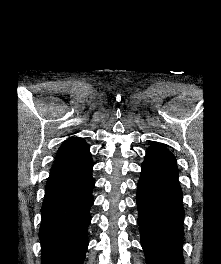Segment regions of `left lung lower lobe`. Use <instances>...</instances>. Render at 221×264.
Here are the masks:
<instances>
[{
  "label": "left lung lower lobe",
  "mask_w": 221,
  "mask_h": 264,
  "mask_svg": "<svg viewBox=\"0 0 221 264\" xmlns=\"http://www.w3.org/2000/svg\"><path fill=\"white\" fill-rule=\"evenodd\" d=\"M138 225L147 264H184L182 190L174 155L160 144L146 150L137 187Z\"/></svg>",
  "instance_id": "1"
}]
</instances>
